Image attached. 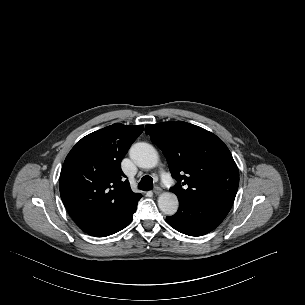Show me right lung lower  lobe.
<instances>
[{
  "label": "right lung lower lobe",
  "mask_w": 305,
  "mask_h": 305,
  "mask_svg": "<svg viewBox=\"0 0 305 305\" xmlns=\"http://www.w3.org/2000/svg\"><path fill=\"white\" fill-rule=\"evenodd\" d=\"M135 211H136V206L133 207L127 214H125V216L114 221L109 227L105 229L92 230L86 233L96 237H105L114 234L125 228L131 222L133 218L132 215Z\"/></svg>",
  "instance_id": "right-lung-lower-lobe-1"
}]
</instances>
